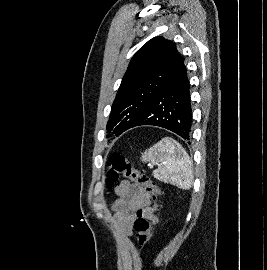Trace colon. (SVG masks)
I'll return each mask as SVG.
<instances>
[{"instance_id":"5ec220e1","label":"colon","mask_w":267,"mask_h":270,"mask_svg":"<svg viewBox=\"0 0 267 270\" xmlns=\"http://www.w3.org/2000/svg\"><path fill=\"white\" fill-rule=\"evenodd\" d=\"M106 183L112 187L119 180H127L143 188L152 198L157 201L160 197L158 187L142 172L134 168L128 158L120 153H112L108 158ZM136 240L139 249L144 248L152 239V224L149 219L139 215L134 223Z\"/></svg>"}]
</instances>
